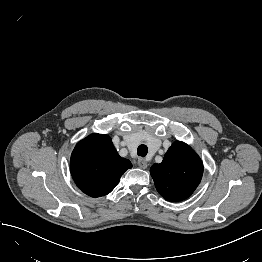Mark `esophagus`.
<instances>
[{"label":"esophagus","mask_w":262,"mask_h":262,"mask_svg":"<svg viewBox=\"0 0 262 262\" xmlns=\"http://www.w3.org/2000/svg\"><path fill=\"white\" fill-rule=\"evenodd\" d=\"M137 164L140 168L146 169L148 167V162L145 158L140 157L137 161Z\"/></svg>","instance_id":"1"}]
</instances>
